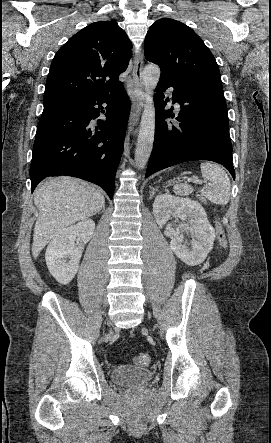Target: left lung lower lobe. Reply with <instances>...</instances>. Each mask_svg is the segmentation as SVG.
<instances>
[{"label": "left lung lower lobe", "instance_id": "obj_1", "mask_svg": "<svg viewBox=\"0 0 271 443\" xmlns=\"http://www.w3.org/2000/svg\"><path fill=\"white\" fill-rule=\"evenodd\" d=\"M169 87L174 88L172 99L180 104L178 123L165 121L175 116L172 108L164 110L166 102L162 92ZM156 92L154 146L146 177L178 163L210 160L222 164L235 179L222 86L161 71Z\"/></svg>", "mask_w": 271, "mask_h": 443}]
</instances>
